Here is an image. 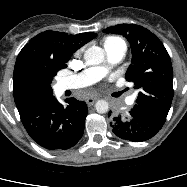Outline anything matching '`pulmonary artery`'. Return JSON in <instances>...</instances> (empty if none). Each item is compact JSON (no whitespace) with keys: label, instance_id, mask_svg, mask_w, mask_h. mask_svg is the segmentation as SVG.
Segmentation results:
<instances>
[{"label":"pulmonary artery","instance_id":"obj_1","mask_svg":"<svg viewBox=\"0 0 187 187\" xmlns=\"http://www.w3.org/2000/svg\"><path fill=\"white\" fill-rule=\"evenodd\" d=\"M105 51L109 64L114 65L119 63L124 58L126 54V45L120 44L109 46L105 48ZM107 71V67H93L87 69L80 74L62 79L59 82V88L64 91L68 89H77L88 86L101 79L107 73ZM134 98L135 96L131 97L130 100L133 101Z\"/></svg>","mask_w":187,"mask_h":187}]
</instances>
